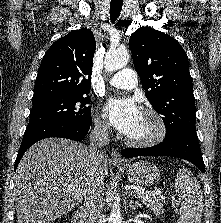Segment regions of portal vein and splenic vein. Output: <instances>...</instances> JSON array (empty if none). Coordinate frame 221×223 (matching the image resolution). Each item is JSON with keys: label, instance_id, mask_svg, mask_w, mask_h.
<instances>
[{"label": "portal vein and splenic vein", "instance_id": "18ae733b", "mask_svg": "<svg viewBox=\"0 0 221 223\" xmlns=\"http://www.w3.org/2000/svg\"><path fill=\"white\" fill-rule=\"evenodd\" d=\"M134 195H137V196H139V197H142V196H149V195H151V194H153L152 192H137V191H134V192H132ZM159 193V191L158 190H156V192H155V194H158Z\"/></svg>", "mask_w": 221, "mask_h": 223}]
</instances>
